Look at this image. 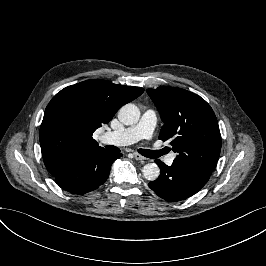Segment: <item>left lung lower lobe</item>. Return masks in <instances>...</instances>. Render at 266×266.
Instances as JSON below:
<instances>
[{
    "label": "left lung lower lobe",
    "instance_id": "left-lung-lower-lobe-1",
    "mask_svg": "<svg viewBox=\"0 0 266 266\" xmlns=\"http://www.w3.org/2000/svg\"><path fill=\"white\" fill-rule=\"evenodd\" d=\"M155 162L161 173L149 183V187L166 201L177 202L193 196L210 178L207 171L187 163L174 161L171 166H167L160 160Z\"/></svg>",
    "mask_w": 266,
    "mask_h": 266
}]
</instances>
